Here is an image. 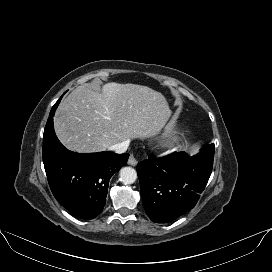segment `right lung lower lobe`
<instances>
[{
  "label": "right lung lower lobe",
  "mask_w": 272,
  "mask_h": 272,
  "mask_svg": "<svg viewBox=\"0 0 272 272\" xmlns=\"http://www.w3.org/2000/svg\"><path fill=\"white\" fill-rule=\"evenodd\" d=\"M61 98L52 107L44 129L43 163L56 200L74 216L90 220L103 210L109 180L126 165L129 154H80L66 149L53 127V116Z\"/></svg>",
  "instance_id": "right-lung-lower-lobe-1"
}]
</instances>
